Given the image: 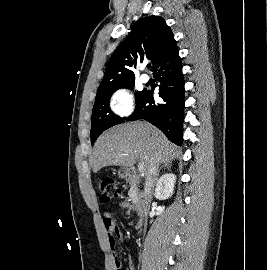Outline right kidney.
<instances>
[{"label":"right kidney","mask_w":267,"mask_h":270,"mask_svg":"<svg viewBox=\"0 0 267 270\" xmlns=\"http://www.w3.org/2000/svg\"><path fill=\"white\" fill-rule=\"evenodd\" d=\"M176 176L168 173L160 177L155 188V197L159 200L168 199L174 191Z\"/></svg>","instance_id":"ca27d5eb"}]
</instances>
